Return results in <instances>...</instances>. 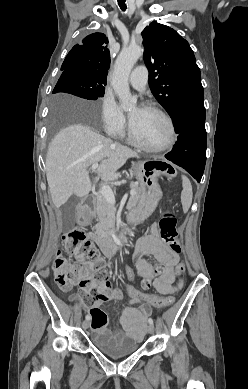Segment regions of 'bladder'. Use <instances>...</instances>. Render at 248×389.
Here are the masks:
<instances>
[{
	"mask_svg": "<svg viewBox=\"0 0 248 389\" xmlns=\"http://www.w3.org/2000/svg\"><path fill=\"white\" fill-rule=\"evenodd\" d=\"M92 343L102 354L114 359L129 356L139 349L138 342L131 337L107 331H94Z\"/></svg>",
	"mask_w": 248,
	"mask_h": 389,
	"instance_id": "31cf9c89",
	"label": "bladder"
}]
</instances>
